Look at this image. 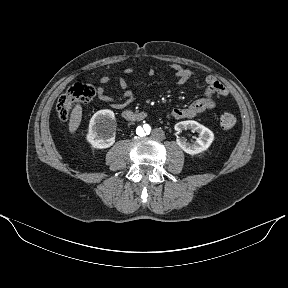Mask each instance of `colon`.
I'll return each instance as SVG.
<instances>
[{"mask_svg": "<svg viewBox=\"0 0 288 288\" xmlns=\"http://www.w3.org/2000/svg\"><path fill=\"white\" fill-rule=\"evenodd\" d=\"M96 94L95 88L87 83L77 82L60 96L56 104V110L59 118L66 121L69 118L72 107L77 103H87L91 101ZM236 119L230 113H224L220 117L222 128L230 130L234 127Z\"/></svg>", "mask_w": 288, "mask_h": 288, "instance_id": "5ec220e1", "label": "colon"}]
</instances>
